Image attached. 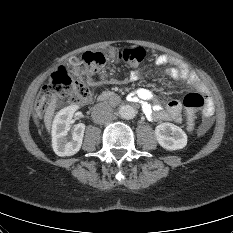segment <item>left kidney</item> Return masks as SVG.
Listing matches in <instances>:
<instances>
[{"label":"left kidney","instance_id":"1","mask_svg":"<svg viewBox=\"0 0 233 233\" xmlns=\"http://www.w3.org/2000/svg\"><path fill=\"white\" fill-rule=\"evenodd\" d=\"M158 143L166 150H179L187 145V135L172 123H162L155 128Z\"/></svg>","mask_w":233,"mask_h":233}]
</instances>
